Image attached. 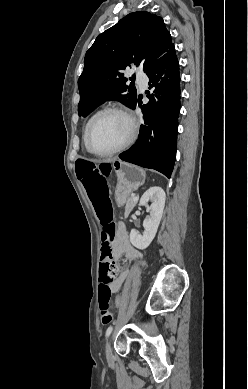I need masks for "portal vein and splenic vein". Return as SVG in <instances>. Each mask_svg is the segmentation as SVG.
I'll use <instances>...</instances> for the list:
<instances>
[{"label": "portal vein and splenic vein", "mask_w": 248, "mask_h": 389, "mask_svg": "<svg viewBox=\"0 0 248 389\" xmlns=\"http://www.w3.org/2000/svg\"><path fill=\"white\" fill-rule=\"evenodd\" d=\"M133 199H134V200H138V196H134Z\"/></svg>", "instance_id": "obj_1"}]
</instances>
